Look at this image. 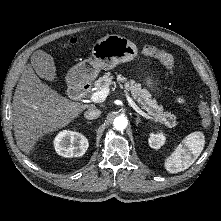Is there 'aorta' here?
Listing matches in <instances>:
<instances>
[{
  "label": "aorta",
  "mask_w": 221,
  "mask_h": 221,
  "mask_svg": "<svg viewBox=\"0 0 221 221\" xmlns=\"http://www.w3.org/2000/svg\"><path fill=\"white\" fill-rule=\"evenodd\" d=\"M114 128L122 131L127 127V119L124 116H118L114 119Z\"/></svg>",
  "instance_id": "aorta-1"
}]
</instances>
